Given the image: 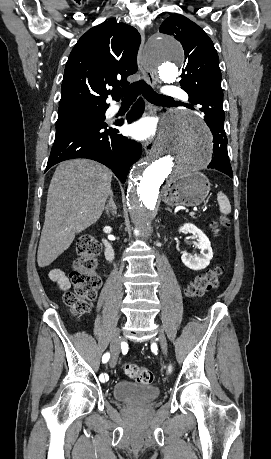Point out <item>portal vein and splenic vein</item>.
<instances>
[{
	"label": "portal vein and splenic vein",
	"mask_w": 271,
	"mask_h": 459,
	"mask_svg": "<svg viewBox=\"0 0 271 459\" xmlns=\"http://www.w3.org/2000/svg\"><path fill=\"white\" fill-rule=\"evenodd\" d=\"M190 216H194V211H191V212H190Z\"/></svg>",
	"instance_id": "1"
}]
</instances>
